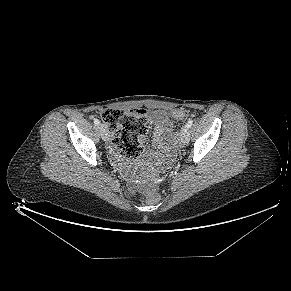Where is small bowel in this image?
I'll use <instances>...</instances> for the list:
<instances>
[{
  "instance_id": "obj_1",
  "label": "small bowel",
  "mask_w": 291,
  "mask_h": 291,
  "mask_svg": "<svg viewBox=\"0 0 291 291\" xmlns=\"http://www.w3.org/2000/svg\"><path fill=\"white\" fill-rule=\"evenodd\" d=\"M150 120L154 125L152 145L158 151L147 152L143 161V173L147 177H153L155 173L168 166L173 158L172 152V123L166 112L162 110L153 111ZM146 140V131L140 135V141ZM129 175H132L128 164L120 163Z\"/></svg>"
}]
</instances>
